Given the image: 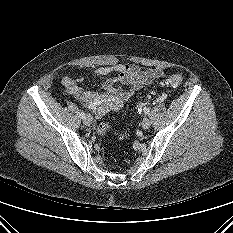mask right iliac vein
<instances>
[{
  "label": "right iliac vein",
  "mask_w": 233,
  "mask_h": 233,
  "mask_svg": "<svg viewBox=\"0 0 233 233\" xmlns=\"http://www.w3.org/2000/svg\"><path fill=\"white\" fill-rule=\"evenodd\" d=\"M83 122L87 126L91 125L92 124V117L91 116L85 117Z\"/></svg>",
  "instance_id": "obj_1"
}]
</instances>
